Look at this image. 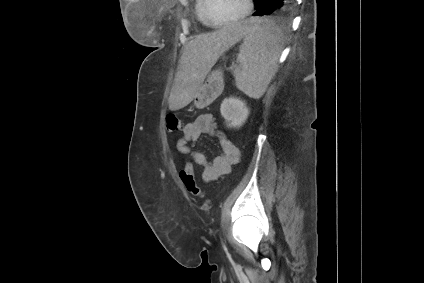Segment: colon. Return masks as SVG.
<instances>
[{
  "label": "colon",
  "mask_w": 424,
  "mask_h": 283,
  "mask_svg": "<svg viewBox=\"0 0 424 283\" xmlns=\"http://www.w3.org/2000/svg\"><path fill=\"white\" fill-rule=\"evenodd\" d=\"M166 126L169 132L178 133L183 130V121L179 116L169 114L166 118ZM180 178L189 193L195 197L204 196V192L196 182L194 169L190 163L185 165L184 169L181 171Z\"/></svg>",
  "instance_id": "obj_1"
}]
</instances>
